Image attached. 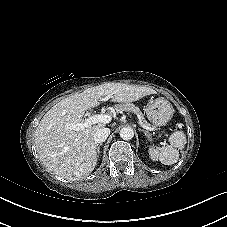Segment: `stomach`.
Listing matches in <instances>:
<instances>
[{"mask_svg": "<svg viewBox=\"0 0 227 227\" xmlns=\"http://www.w3.org/2000/svg\"><path fill=\"white\" fill-rule=\"evenodd\" d=\"M173 113V106L163 97L154 99L146 109L147 118L156 126L166 125L171 120Z\"/></svg>", "mask_w": 227, "mask_h": 227, "instance_id": "0dacf381", "label": "stomach"}]
</instances>
